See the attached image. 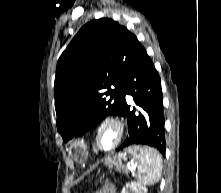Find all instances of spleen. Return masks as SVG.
<instances>
[{
  "label": "spleen",
  "mask_w": 221,
  "mask_h": 193,
  "mask_svg": "<svg viewBox=\"0 0 221 193\" xmlns=\"http://www.w3.org/2000/svg\"><path fill=\"white\" fill-rule=\"evenodd\" d=\"M127 151L132 155L137 180L144 185L156 184L161 178L162 157L151 146H130Z\"/></svg>",
  "instance_id": "spleen-1"
}]
</instances>
